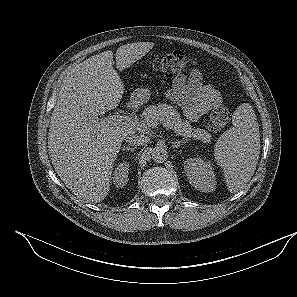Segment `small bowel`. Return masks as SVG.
<instances>
[{
    "label": "small bowel",
    "mask_w": 297,
    "mask_h": 297,
    "mask_svg": "<svg viewBox=\"0 0 297 297\" xmlns=\"http://www.w3.org/2000/svg\"><path fill=\"white\" fill-rule=\"evenodd\" d=\"M166 97L179 106L191 122L197 121L222 103L220 91L211 84L203 83L201 73L197 70L188 76L175 77Z\"/></svg>",
    "instance_id": "small-bowel-1"
}]
</instances>
